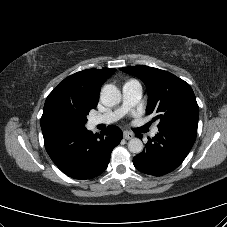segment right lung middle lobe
<instances>
[{
	"label": "right lung middle lobe",
	"mask_w": 227,
	"mask_h": 227,
	"mask_svg": "<svg viewBox=\"0 0 227 227\" xmlns=\"http://www.w3.org/2000/svg\"><path fill=\"white\" fill-rule=\"evenodd\" d=\"M91 109L64 92L52 91L45 101L41 117L42 132L84 129Z\"/></svg>",
	"instance_id": "1"
}]
</instances>
